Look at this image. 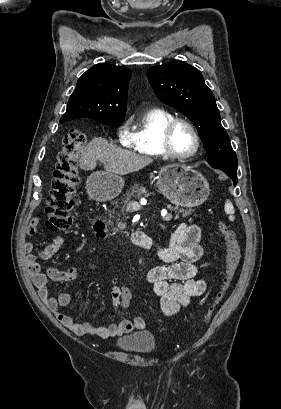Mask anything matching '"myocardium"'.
Listing matches in <instances>:
<instances>
[{
  "mask_svg": "<svg viewBox=\"0 0 281 409\" xmlns=\"http://www.w3.org/2000/svg\"><path fill=\"white\" fill-rule=\"evenodd\" d=\"M185 126L190 133L192 134L193 138H194V150L191 153L188 154H179L177 153L174 148H173V144H172V140H173V134L176 130V128L178 126ZM162 147L165 151V153L174 159L177 160H187L189 158H192L193 156H195L197 154V152L199 151L200 148V137L199 134L196 130V128L193 126V124L191 122H189L187 119L184 118H174L173 120H171L165 127L164 131H163V135H162Z\"/></svg>",
  "mask_w": 281,
  "mask_h": 409,
  "instance_id": "1",
  "label": "myocardium"
}]
</instances>
